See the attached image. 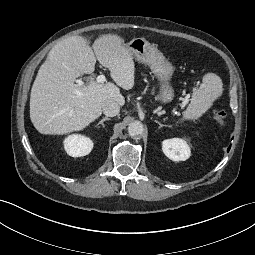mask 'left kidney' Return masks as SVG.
I'll list each match as a JSON object with an SVG mask.
<instances>
[{"label":"left kidney","instance_id":"obj_1","mask_svg":"<svg viewBox=\"0 0 255 255\" xmlns=\"http://www.w3.org/2000/svg\"><path fill=\"white\" fill-rule=\"evenodd\" d=\"M163 153L173 161H185L190 157V147L180 138L167 139L162 142Z\"/></svg>","mask_w":255,"mask_h":255}]
</instances>
